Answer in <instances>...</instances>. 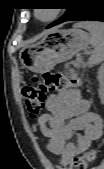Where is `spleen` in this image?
I'll use <instances>...</instances> for the list:
<instances>
[{
	"label": "spleen",
	"instance_id": "1",
	"mask_svg": "<svg viewBox=\"0 0 104 169\" xmlns=\"http://www.w3.org/2000/svg\"><path fill=\"white\" fill-rule=\"evenodd\" d=\"M90 32V44L94 48L87 65L92 67L104 60V26L99 22H82L77 25Z\"/></svg>",
	"mask_w": 104,
	"mask_h": 169
}]
</instances>
